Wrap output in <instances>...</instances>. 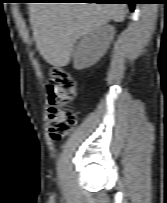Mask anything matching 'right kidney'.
<instances>
[{"label":"right kidney","instance_id":"ca27d5eb","mask_svg":"<svg viewBox=\"0 0 167 203\" xmlns=\"http://www.w3.org/2000/svg\"><path fill=\"white\" fill-rule=\"evenodd\" d=\"M114 33L113 26L103 25L86 34L74 53V68L80 70L94 65L109 48Z\"/></svg>","mask_w":167,"mask_h":203}]
</instances>
